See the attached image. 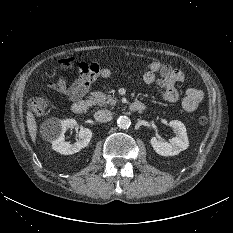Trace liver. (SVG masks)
I'll return each instance as SVG.
<instances>
[{"instance_id":"liver-1","label":"liver","mask_w":233,"mask_h":233,"mask_svg":"<svg viewBox=\"0 0 233 233\" xmlns=\"http://www.w3.org/2000/svg\"><path fill=\"white\" fill-rule=\"evenodd\" d=\"M26 121H27V128H28V132L31 137V140L35 142L36 134H37V124L35 121V117L30 110L27 111Z\"/></svg>"}]
</instances>
